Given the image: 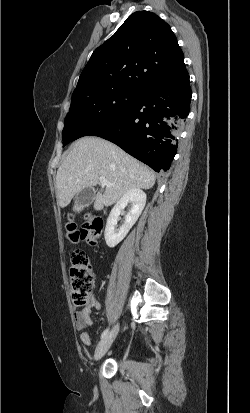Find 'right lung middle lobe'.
Segmentation results:
<instances>
[{
  "label": "right lung middle lobe",
  "mask_w": 250,
  "mask_h": 413,
  "mask_svg": "<svg viewBox=\"0 0 250 413\" xmlns=\"http://www.w3.org/2000/svg\"><path fill=\"white\" fill-rule=\"evenodd\" d=\"M139 91L116 87L74 93L62 132L63 147L115 118L137 98Z\"/></svg>",
  "instance_id": "dd1d6c3e"
}]
</instances>
